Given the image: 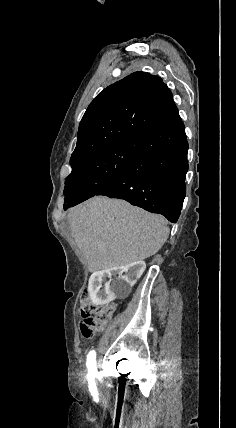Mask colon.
Listing matches in <instances>:
<instances>
[{"instance_id":"obj_1","label":"colon","mask_w":236,"mask_h":428,"mask_svg":"<svg viewBox=\"0 0 236 428\" xmlns=\"http://www.w3.org/2000/svg\"><path fill=\"white\" fill-rule=\"evenodd\" d=\"M80 311L83 317L80 332L84 338L90 339L97 336L110 322L116 311V305L95 306L90 301L88 290H84L81 294Z\"/></svg>"}]
</instances>
